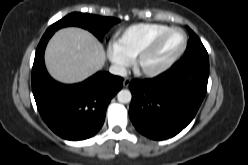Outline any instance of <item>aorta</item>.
<instances>
[{"mask_svg": "<svg viewBox=\"0 0 248 165\" xmlns=\"http://www.w3.org/2000/svg\"><path fill=\"white\" fill-rule=\"evenodd\" d=\"M131 98V92L126 89L119 91L117 94V99L120 103H129L131 101Z\"/></svg>", "mask_w": 248, "mask_h": 165, "instance_id": "obj_1", "label": "aorta"}]
</instances>
